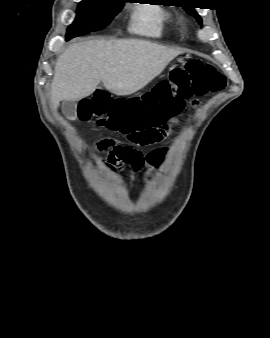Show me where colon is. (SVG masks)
Here are the masks:
<instances>
[{
	"label": "colon",
	"instance_id": "1",
	"mask_svg": "<svg viewBox=\"0 0 270 338\" xmlns=\"http://www.w3.org/2000/svg\"><path fill=\"white\" fill-rule=\"evenodd\" d=\"M225 83V77L212 65L192 59L185 69L174 70L169 80L158 83L142 98L112 99L105 91L95 92L82 101L78 117L119 131L137 145L148 146L169 134L168 123L183 113L193 96L220 91ZM126 162L135 170L142 167L134 149L127 152Z\"/></svg>",
	"mask_w": 270,
	"mask_h": 338
}]
</instances>
